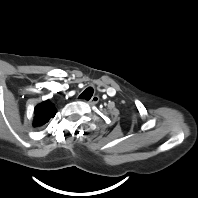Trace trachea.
Listing matches in <instances>:
<instances>
[{"label": "trachea", "mask_w": 198, "mask_h": 198, "mask_svg": "<svg viewBox=\"0 0 198 198\" xmlns=\"http://www.w3.org/2000/svg\"><path fill=\"white\" fill-rule=\"evenodd\" d=\"M94 93V90L92 87H89L87 89H85L79 96V99H85V100H90V98L92 97Z\"/></svg>", "instance_id": "trachea-1"}]
</instances>
